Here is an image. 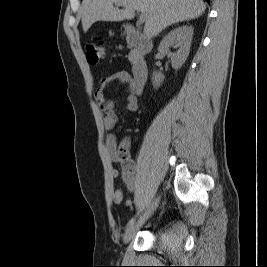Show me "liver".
Masks as SVG:
<instances>
[{
    "label": "liver",
    "instance_id": "liver-1",
    "mask_svg": "<svg viewBox=\"0 0 267 267\" xmlns=\"http://www.w3.org/2000/svg\"><path fill=\"white\" fill-rule=\"evenodd\" d=\"M116 3L124 9L114 7ZM205 9L202 0H83L82 27L86 33L97 21L131 20L140 11L147 15L144 34L152 38L172 24L198 18Z\"/></svg>",
    "mask_w": 267,
    "mask_h": 267
}]
</instances>
